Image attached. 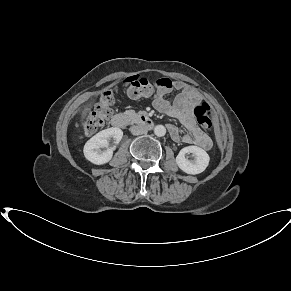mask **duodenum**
I'll list each match as a JSON object with an SVG mask.
<instances>
[{"label": "duodenum", "mask_w": 291, "mask_h": 291, "mask_svg": "<svg viewBox=\"0 0 291 291\" xmlns=\"http://www.w3.org/2000/svg\"><path fill=\"white\" fill-rule=\"evenodd\" d=\"M131 121V117L122 113L115 114L111 119L112 125L116 128H125ZM134 122L146 128H151L153 126L152 119L147 115H139L134 119Z\"/></svg>", "instance_id": "duodenum-1"}]
</instances>
